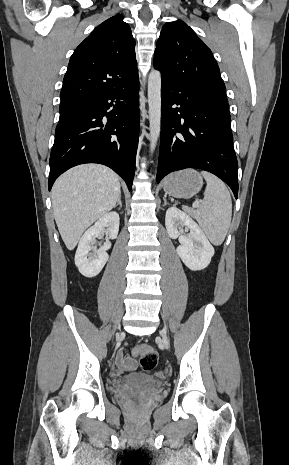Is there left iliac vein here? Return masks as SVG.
<instances>
[{
  "mask_svg": "<svg viewBox=\"0 0 289 465\" xmlns=\"http://www.w3.org/2000/svg\"><path fill=\"white\" fill-rule=\"evenodd\" d=\"M160 333H161V336L163 338L164 344L167 346L168 345V339L166 337V334L163 331H161Z\"/></svg>",
  "mask_w": 289,
  "mask_h": 465,
  "instance_id": "4c4485c4",
  "label": "left iliac vein"
}]
</instances>
